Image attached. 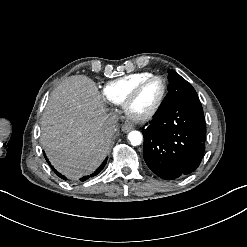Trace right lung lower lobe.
Instances as JSON below:
<instances>
[{"instance_id": "98d812e1", "label": "right lung lower lobe", "mask_w": 247, "mask_h": 247, "mask_svg": "<svg viewBox=\"0 0 247 247\" xmlns=\"http://www.w3.org/2000/svg\"><path fill=\"white\" fill-rule=\"evenodd\" d=\"M44 156H45L46 161H47L48 164L50 165V162L48 161V159H47V157H46L45 154H44ZM106 162H107V158H106V160L101 164V166H100L94 173H92V174L89 175V176H84V177H82V178H81V181H85V180L89 179L90 177H93V176L97 175V174L104 168V166L106 165ZM50 166H51V165H50ZM51 168H52V170L56 173L57 176H59L60 178H62V179H64V180H67V178H66L65 176L61 175L58 171H56V170L53 168V166H51Z\"/></svg>"}]
</instances>
